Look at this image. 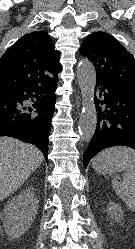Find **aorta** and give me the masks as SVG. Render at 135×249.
<instances>
[{"mask_svg":"<svg viewBox=\"0 0 135 249\" xmlns=\"http://www.w3.org/2000/svg\"><path fill=\"white\" fill-rule=\"evenodd\" d=\"M77 79L83 99L82 112L79 117V132L81 138L88 142L92 139L97 125V113L94 104L96 73L92 63L88 60H82L79 63Z\"/></svg>","mask_w":135,"mask_h":249,"instance_id":"762f6f07","label":"aorta"}]
</instances>
